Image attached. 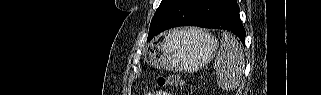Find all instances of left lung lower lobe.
Segmentation results:
<instances>
[{
    "label": "left lung lower lobe",
    "mask_w": 321,
    "mask_h": 95,
    "mask_svg": "<svg viewBox=\"0 0 321 95\" xmlns=\"http://www.w3.org/2000/svg\"><path fill=\"white\" fill-rule=\"evenodd\" d=\"M184 25L224 29L245 42V30L240 20L236 0H174L148 41L161 32Z\"/></svg>",
    "instance_id": "0a47b994"
}]
</instances>
